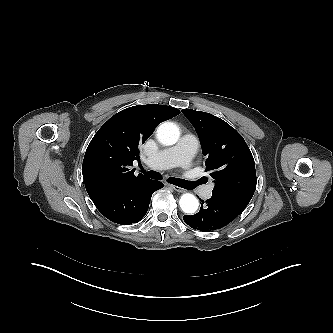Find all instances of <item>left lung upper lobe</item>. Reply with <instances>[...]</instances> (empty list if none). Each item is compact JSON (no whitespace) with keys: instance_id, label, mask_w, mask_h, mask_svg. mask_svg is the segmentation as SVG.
Returning <instances> with one entry per match:
<instances>
[{"instance_id":"obj_1","label":"left lung upper lobe","mask_w":333,"mask_h":333,"mask_svg":"<svg viewBox=\"0 0 333 333\" xmlns=\"http://www.w3.org/2000/svg\"><path fill=\"white\" fill-rule=\"evenodd\" d=\"M194 126L206 156V171L215 183L212 195L243 211L257 184L255 163L243 137L224 120L201 111L183 109Z\"/></svg>"}]
</instances>
